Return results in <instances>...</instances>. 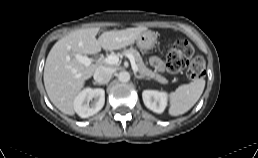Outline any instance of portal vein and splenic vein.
<instances>
[{"instance_id":"obj_1","label":"portal vein and splenic vein","mask_w":258,"mask_h":158,"mask_svg":"<svg viewBox=\"0 0 258 158\" xmlns=\"http://www.w3.org/2000/svg\"><path fill=\"white\" fill-rule=\"evenodd\" d=\"M126 56L130 60L133 71L137 72L138 68H137V65L135 63V59H134L133 55L127 54ZM75 57L79 62H81L85 66H90L91 63L93 62L92 58H89V57L84 56V55L76 54ZM99 61H101L103 63H106V64H109V65H115L119 62V57L117 55H109L105 58H100Z\"/></svg>"}]
</instances>
